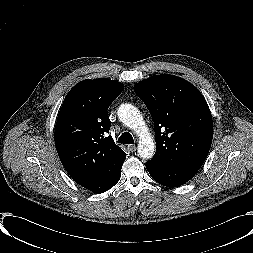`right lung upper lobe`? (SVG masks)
<instances>
[{
	"instance_id": "cb5924a9",
	"label": "right lung upper lobe",
	"mask_w": 253,
	"mask_h": 253,
	"mask_svg": "<svg viewBox=\"0 0 253 253\" xmlns=\"http://www.w3.org/2000/svg\"><path fill=\"white\" fill-rule=\"evenodd\" d=\"M123 87L106 78L81 81L66 95L57 118L54 139L59 158L73 180L94 193L111 186L126 159L107 136V110Z\"/></svg>"
}]
</instances>
